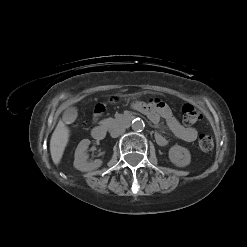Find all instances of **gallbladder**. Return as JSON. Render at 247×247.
I'll use <instances>...</instances> for the list:
<instances>
[{"instance_id": "gallbladder-1", "label": "gallbladder", "mask_w": 247, "mask_h": 247, "mask_svg": "<svg viewBox=\"0 0 247 247\" xmlns=\"http://www.w3.org/2000/svg\"><path fill=\"white\" fill-rule=\"evenodd\" d=\"M77 118V109L74 107L68 108L63 114L65 123H72Z\"/></svg>"}]
</instances>
